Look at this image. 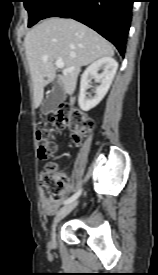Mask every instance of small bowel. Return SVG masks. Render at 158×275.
<instances>
[{"instance_id":"small-bowel-1","label":"small bowel","mask_w":158,"mask_h":275,"mask_svg":"<svg viewBox=\"0 0 158 275\" xmlns=\"http://www.w3.org/2000/svg\"><path fill=\"white\" fill-rule=\"evenodd\" d=\"M41 207L44 214L51 216L58 209L62 201H52L48 198L44 191L40 192Z\"/></svg>"}]
</instances>
